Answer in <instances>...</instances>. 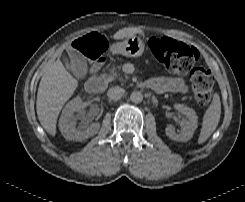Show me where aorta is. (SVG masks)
<instances>
[{"instance_id": "1", "label": "aorta", "mask_w": 245, "mask_h": 202, "mask_svg": "<svg viewBox=\"0 0 245 202\" xmlns=\"http://www.w3.org/2000/svg\"><path fill=\"white\" fill-rule=\"evenodd\" d=\"M130 100L136 104L140 103L143 100V94L140 91H134L130 95Z\"/></svg>"}]
</instances>
